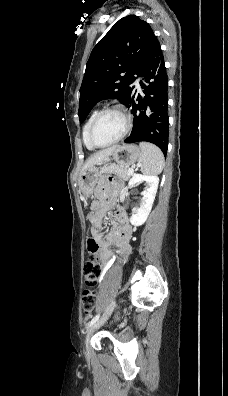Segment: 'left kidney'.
<instances>
[{
	"mask_svg": "<svg viewBox=\"0 0 228 396\" xmlns=\"http://www.w3.org/2000/svg\"><path fill=\"white\" fill-rule=\"evenodd\" d=\"M142 182H145L146 188L141 192L140 207L134 210L130 217V223L134 226H140L147 220L156 196L159 178L153 175L136 174L130 179L128 185L134 187Z\"/></svg>",
	"mask_w": 228,
	"mask_h": 396,
	"instance_id": "5707ae66",
	"label": "left kidney"
}]
</instances>
